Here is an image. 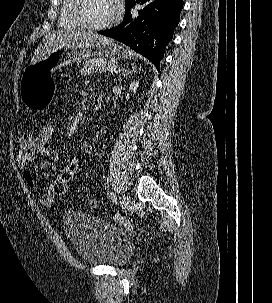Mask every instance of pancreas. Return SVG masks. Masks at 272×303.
<instances>
[{
	"label": "pancreas",
	"mask_w": 272,
	"mask_h": 303,
	"mask_svg": "<svg viewBox=\"0 0 272 303\" xmlns=\"http://www.w3.org/2000/svg\"><path fill=\"white\" fill-rule=\"evenodd\" d=\"M107 67H118V64L116 62L106 61L103 59H89L83 63V68L79 72L82 76L91 75L96 71L104 73L107 71Z\"/></svg>",
	"instance_id": "cf45deb5"
}]
</instances>
